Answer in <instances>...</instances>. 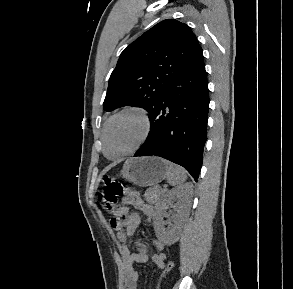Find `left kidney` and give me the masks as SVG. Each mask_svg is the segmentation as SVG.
I'll list each match as a JSON object with an SVG mask.
<instances>
[{"label":"left kidney","mask_w":293,"mask_h":289,"mask_svg":"<svg viewBox=\"0 0 293 289\" xmlns=\"http://www.w3.org/2000/svg\"><path fill=\"white\" fill-rule=\"evenodd\" d=\"M190 190L191 186L189 184L170 190L160 202L159 207L156 210L153 221L155 234L157 238L166 245H172L179 239L185 212L188 210ZM174 201H178L177 205L179 211L178 214L172 217L173 224L166 228L164 222V217L167 216L166 209L169 206H172Z\"/></svg>","instance_id":"left-kidney-1"}]
</instances>
